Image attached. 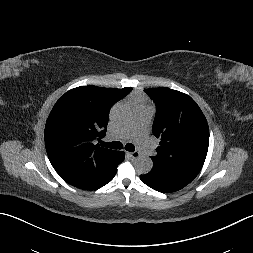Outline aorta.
Returning <instances> with one entry per match:
<instances>
[{
	"label": "aorta",
	"instance_id": "762f6f07",
	"mask_svg": "<svg viewBox=\"0 0 253 253\" xmlns=\"http://www.w3.org/2000/svg\"><path fill=\"white\" fill-rule=\"evenodd\" d=\"M132 117V109L126 104H119L112 110V118L118 124L128 122ZM134 168L140 175L148 174L153 168V162L151 158L141 156L134 162Z\"/></svg>",
	"mask_w": 253,
	"mask_h": 253
}]
</instances>
